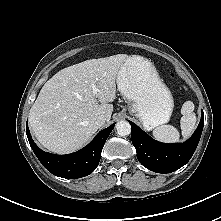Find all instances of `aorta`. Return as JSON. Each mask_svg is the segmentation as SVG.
Wrapping results in <instances>:
<instances>
[{
  "label": "aorta",
  "mask_w": 221,
  "mask_h": 221,
  "mask_svg": "<svg viewBox=\"0 0 221 221\" xmlns=\"http://www.w3.org/2000/svg\"><path fill=\"white\" fill-rule=\"evenodd\" d=\"M115 128L119 136H127L131 133V126L129 122L125 120L118 121Z\"/></svg>",
  "instance_id": "obj_1"
}]
</instances>
